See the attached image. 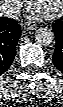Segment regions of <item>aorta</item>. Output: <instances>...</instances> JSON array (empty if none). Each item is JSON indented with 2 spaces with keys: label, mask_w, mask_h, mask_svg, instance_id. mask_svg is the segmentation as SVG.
<instances>
[{
  "label": "aorta",
  "mask_w": 63,
  "mask_h": 107,
  "mask_svg": "<svg viewBox=\"0 0 63 107\" xmlns=\"http://www.w3.org/2000/svg\"><path fill=\"white\" fill-rule=\"evenodd\" d=\"M55 34L52 29L48 27H41L35 32V40L42 46H48L53 43Z\"/></svg>",
  "instance_id": "762f6f07"
}]
</instances>
